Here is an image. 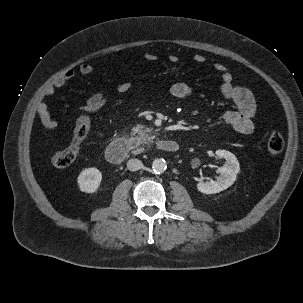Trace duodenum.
Instances as JSON below:
<instances>
[{
  "label": "duodenum",
  "instance_id": "410a0bca",
  "mask_svg": "<svg viewBox=\"0 0 303 303\" xmlns=\"http://www.w3.org/2000/svg\"><path fill=\"white\" fill-rule=\"evenodd\" d=\"M160 151L167 153H175L179 150V144L171 139H161L156 143ZM129 151V142L125 137L113 140L106 148V159L113 164L121 163L127 156Z\"/></svg>",
  "mask_w": 303,
  "mask_h": 303
}]
</instances>
